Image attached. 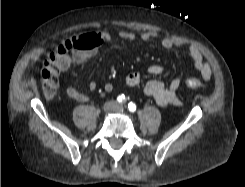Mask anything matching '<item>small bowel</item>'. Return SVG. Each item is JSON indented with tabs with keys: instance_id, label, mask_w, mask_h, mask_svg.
I'll return each mask as SVG.
<instances>
[{
	"instance_id": "obj_1",
	"label": "small bowel",
	"mask_w": 245,
	"mask_h": 187,
	"mask_svg": "<svg viewBox=\"0 0 245 187\" xmlns=\"http://www.w3.org/2000/svg\"><path fill=\"white\" fill-rule=\"evenodd\" d=\"M117 36L122 40L127 41H150L158 38V33L154 31H144L137 33L130 30H119ZM112 35L109 32L97 31L90 33L85 36V48L72 55H70L64 63L59 65V71L64 72L68 70L71 66L81 65L88 59H90L95 53L97 48L103 44L110 42ZM161 45L165 49H172L178 47L180 49H185L194 61V66L200 75L208 80L212 77V68L210 64L204 60L201 51L192 44H184L182 41L177 40L173 37H163L161 39ZM163 67L161 65H152L149 67L148 72L151 75H160L163 72ZM142 81L141 75L138 72H131L125 77V83L129 87H135L140 85ZM182 79L177 77L171 81L169 86H165L162 82L157 80H150L144 85V93L153 98L155 102L162 107L168 105L180 104V99L177 95V90L180 87ZM89 88L92 91L96 90V84L91 82ZM113 88L112 84L107 83L104 86V90L109 92ZM66 93L69 98L77 102H86L89 97L77 90L74 86H69L66 89Z\"/></svg>"
}]
</instances>
